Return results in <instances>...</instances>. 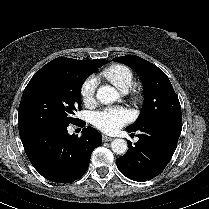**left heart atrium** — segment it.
<instances>
[{
    "mask_svg": "<svg viewBox=\"0 0 209 209\" xmlns=\"http://www.w3.org/2000/svg\"><path fill=\"white\" fill-rule=\"evenodd\" d=\"M131 113L121 107H109L92 114V123L99 130L114 132L129 122Z\"/></svg>",
    "mask_w": 209,
    "mask_h": 209,
    "instance_id": "1",
    "label": "left heart atrium"
}]
</instances>
